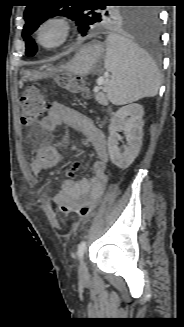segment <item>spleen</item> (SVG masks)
<instances>
[{
  "label": "spleen",
  "mask_w": 184,
  "mask_h": 327,
  "mask_svg": "<svg viewBox=\"0 0 184 327\" xmlns=\"http://www.w3.org/2000/svg\"><path fill=\"white\" fill-rule=\"evenodd\" d=\"M104 67L111 73L107 96L114 105L154 97L158 93L157 66L144 50L125 37L113 33L107 36Z\"/></svg>",
  "instance_id": "spleen-1"
}]
</instances>
